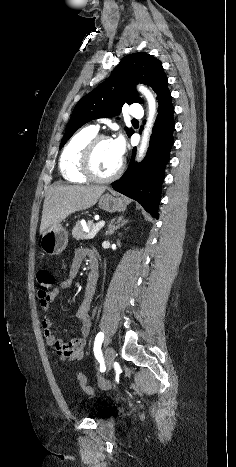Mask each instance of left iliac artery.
<instances>
[{"mask_svg":"<svg viewBox=\"0 0 236 467\" xmlns=\"http://www.w3.org/2000/svg\"><path fill=\"white\" fill-rule=\"evenodd\" d=\"M104 340V333L99 332L95 338L94 342V355L96 359L101 363L102 362V352H101V345ZM105 370V366L101 363L100 365V371L103 372Z\"/></svg>","mask_w":236,"mask_h":467,"instance_id":"left-iliac-artery-1","label":"left iliac artery"}]
</instances>
